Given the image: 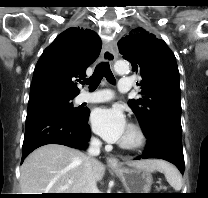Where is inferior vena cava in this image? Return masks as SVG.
Wrapping results in <instances>:
<instances>
[{"label": "inferior vena cava", "instance_id": "obj_1", "mask_svg": "<svg viewBox=\"0 0 208 198\" xmlns=\"http://www.w3.org/2000/svg\"><path fill=\"white\" fill-rule=\"evenodd\" d=\"M100 147H101V141L97 138H92L87 151V155L85 156L84 173H83V179L85 185L82 193H96L98 190L96 185V180L93 175L92 166L96 160L95 157L100 154Z\"/></svg>", "mask_w": 208, "mask_h": 198}]
</instances>
